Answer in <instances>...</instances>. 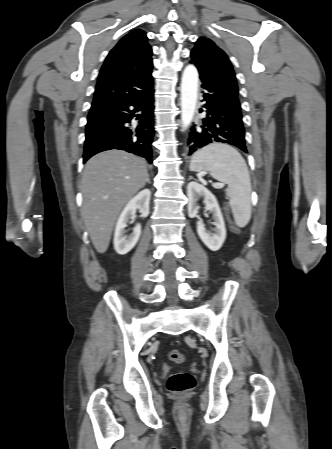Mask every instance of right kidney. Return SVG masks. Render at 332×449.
Masks as SVG:
<instances>
[{"instance_id":"1","label":"right kidney","mask_w":332,"mask_h":449,"mask_svg":"<svg viewBox=\"0 0 332 449\" xmlns=\"http://www.w3.org/2000/svg\"><path fill=\"white\" fill-rule=\"evenodd\" d=\"M151 192L149 189H144L139 192L134 198H132L125 206L124 210L120 214L114 233V249L120 254H127L139 240L141 235V226L138 224L132 234L129 236L124 235L127 223L133 217H135L136 210L139 209L141 217L145 218L149 215V202Z\"/></svg>"}]
</instances>
